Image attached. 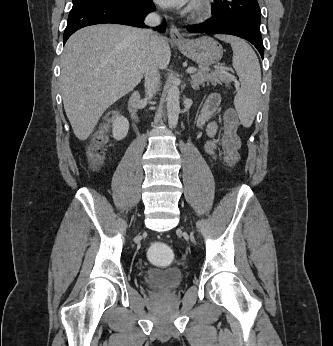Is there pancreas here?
<instances>
[{
    "label": "pancreas",
    "mask_w": 333,
    "mask_h": 346,
    "mask_svg": "<svg viewBox=\"0 0 333 346\" xmlns=\"http://www.w3.org/2000/svg\"><path fill=\"white\" fill-rule=\"evenodd\" d=\"M233 81V77L225 72H222L221 69H216L210 71L208 67L200 66L198 69H195V72L191 75V84L192 88L198 90L201 85H209L210 83L213 86L217 84L225 83L229 85Z\"/></svg>",
    "instance_id": "obj_1"
}]
</instances>
